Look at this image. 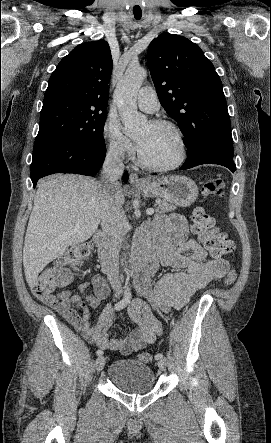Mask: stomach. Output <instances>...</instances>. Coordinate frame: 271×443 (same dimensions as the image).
<instances>
[{"label": "stomach", "instance_id": "stomach-1", "mask_svg": "<svg viewBox=\"0 0 271 443\" xmlns=\"http://www.w3.org/2000/svg\"><path fill=\"white\" fill-rule=\"evenodd\" d=\"M145 186H140V190L145 198H165L171 204L187 208L191 206L198 196V188L190 178L186 176H165L158 180H142Z\"/></svg>", "mask_w": 271, "mask_h": 443}]
</instances>
